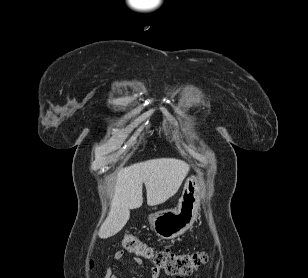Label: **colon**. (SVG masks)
Segmentation results:
<instances>
[{"mask_svg": "<svg viewBox=\"0 0 308 278\" xmlns=\"http://www.w3.org/2000/svg\"><path fill=\"white\" fill-rule=\"evenodd\" d=\"M123 247L137 257L148 259L156 271H163L178 277L188 275L207 261L205 253H173L166 250H154L133 235H125Z\"/></svg>", "mask_w": 308, "mask_h": 278, "instance_id": "obj_1", "label": "colon"}]
</instances>
